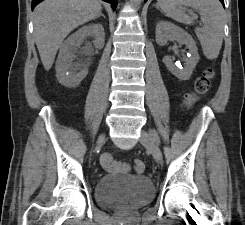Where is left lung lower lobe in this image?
Segmentation results:
<instances>
[{"instance_id":"obj_1","label":"left lung lower lobe","mask_w":245,"mask_h":225,"mask_svg":"<svg viewBox=\"0 0 245 225\" xmlns=\"http://www.w3.org/2000/svg\"><path fill=\"white\" fill-rule=\"evenodd\" d=\"M145 2L147 1V0H144ZM220 2L224 5V0H220Z\"/></svg>"}]
</instances>
